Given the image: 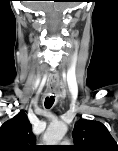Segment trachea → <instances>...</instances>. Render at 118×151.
<instances>
[{"instance_id": "3493384b", "label": "trachea", "mask_w": 118, "mask_h": 151, "mask_svg": "<svg viewBox=\"0 0 118 151\" xmlns=\"http://www.w3.org/2000/svg\"><path fill=\"white\" fill-rule=\"evenodd\" d=\"M54 101H55V98H54V96H50V97H46L45 98V107L46 108H51L52 107V105L54 104Z\"/></svg>"}]
</instances>
